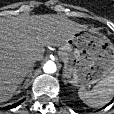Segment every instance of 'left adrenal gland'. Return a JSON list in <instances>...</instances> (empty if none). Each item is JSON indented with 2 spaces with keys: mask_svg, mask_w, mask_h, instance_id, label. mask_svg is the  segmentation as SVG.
Returning a JSON list of instances; mask_svg holds the SVG:
<instances>
[{
  "mask_svg": "<svg viewBox=\"0 0 114 114\" xmlns=\"http://www.w3.org/2000/svg\"><path fill=\"white\" fill-rule=\"evenodd\" d=\"M63 78H65V75L63 74ZM64 82L66 83V80H64Z\"/></svg>",
  "mask_w": 114,
  "mask_h": 114,
  "instance_id": "1",
  "label": "left adrenal gland"
}]
</instances>
